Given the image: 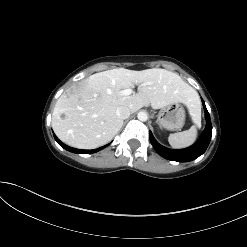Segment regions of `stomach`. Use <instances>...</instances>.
I'll return each instance as SVG.
<instances>
[{"mask_svg":"<svg viewBox=\"0 0 247 247\" xmlns=\"http://www.w3.org/2000/svg\"><path fill=\"white\" fill-rule=\"evenodd\" d=\"M158 122L166 130H180L185 123V110L179 103L170 104L160 110Z\"/></svg>","mask_w":247,"mask_h":247,"instance_id":"0dacf381","label":"stomach"}]
</instances>
